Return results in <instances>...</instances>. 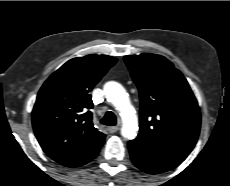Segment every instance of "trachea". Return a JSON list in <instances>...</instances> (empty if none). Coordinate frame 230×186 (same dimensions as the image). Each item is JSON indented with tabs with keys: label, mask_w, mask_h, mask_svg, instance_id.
Returning <instances> with one entry per match:
<instances>
[{
	"label": "trachea",
	"mask_w": 230,
	"mask_h": 186,
	"mask_svg": "<svg viewBox=\"0 0 230 186\" xmlns=\"http://www.w3.org/2000/svg\"><path fill=\"white\" fill-rule=\"evenodd\" d=\"M116 122H117L116 116L111 111L106 112L104 117L101 119V123L107 126H115Z\"/></svg>",
	"instance_id": "3493384b"
}]
</instances>
